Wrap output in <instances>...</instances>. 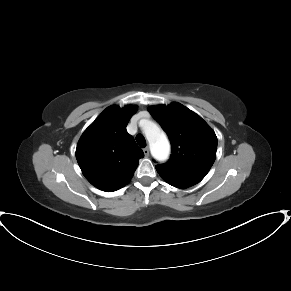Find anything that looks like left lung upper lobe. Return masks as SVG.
Wrapping results in <instances>:
<instances>
[{
    "label": "left lung upper lobe",
    "instance_id": "1",
    "mask_svg": "<svg viewBox=\"0 0 291 291\" xmlns=\"http://www.w3.org/2000/svg\"><path fill=\"white\" fill-rule=\"evenodd\" d=\"M151 115L167 133L172 155L168 162L156 165L160 176L178 188L200 182L216 158L217 137L208 124L180 103L151 106Z\"/></svg>",
    "mask_w": 291,
    "mask_h": 291
}]
</instances>
